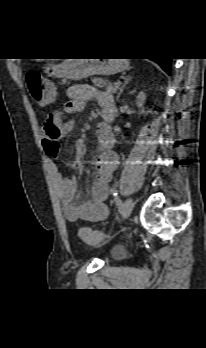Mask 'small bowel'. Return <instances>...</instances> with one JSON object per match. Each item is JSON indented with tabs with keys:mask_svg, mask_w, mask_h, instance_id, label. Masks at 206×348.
<instances>
[{
	"mask_svg": "<svg viewBox=\"0 0 206 348\" xmlns=\"http://www.w3.org/2000/svg\"><path fill=\"white\" fill-rule=\"evenodd\" d=\"M66 95L68 101L61 109L49 114L44 123L45 137L42 139V148L47 157L52 182L61 200L64 216L69 222L104 220L109 214L105 204L109 184L119 164L116 153L112 150H104L99 155L95 162L96 171L91 188V199L80 203H76L77 177L65 176L58 168L56 159L59 155L61 140L72 127L69 115L82 110L91 100H96L102 107V111L105 107H113L115 106L113 96L88 84L72 85L67 89Z\"/></svg>",
	"mask_w": 206,
	"mask_h": 348,
	"instance_id": "c3829d8e",
	"label": "small bowel"
}]
</instances>
